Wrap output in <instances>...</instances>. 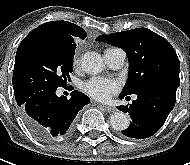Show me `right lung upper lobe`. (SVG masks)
I'll list each match as a JSON object with an SVG mask.
<instances>
[{"label": "right lung upper lobe", "instance_id": "obj_1", "mask_svg": "<svg viewBox=\"0 0 190 165\" xmlns=\"http://www.w3.org/2000/svg\"><path fill=\"white\" fill-rule=\"evenodd\" d=\"M32 31L56 34L73 41L77 39L84 40L87 37V33L84 29L67 21L47 22Z\"/></svg>", "mask_w": 190, "mask_h": 165}]
</instances>
